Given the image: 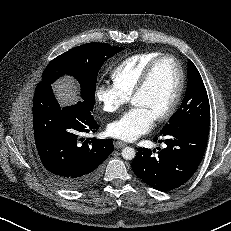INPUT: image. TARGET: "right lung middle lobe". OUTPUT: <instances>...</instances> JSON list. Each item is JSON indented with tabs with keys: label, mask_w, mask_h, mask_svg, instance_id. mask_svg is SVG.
I'll return each instance as SVG.
<instances>
[{
	"label": "right lung middle lobe",
	"mask_w": 231,
	"mask_h": 231,
	"mask_svg": "<svg viewBox=\"0 0 231 231\" xmlns=\"http://www.w3.org/2000/svg\"><path fill=\"white\" fill-rule=\"evenodd\" d=\"M121 50H123L121 47L96 42L75 47L59 55L47 65L41 82L52 84L63 75L75 77L81 87L83 102L92 111L98 71L106 59Z\"/></svg>",
	"instance_id": "1"
}]
</instances>
